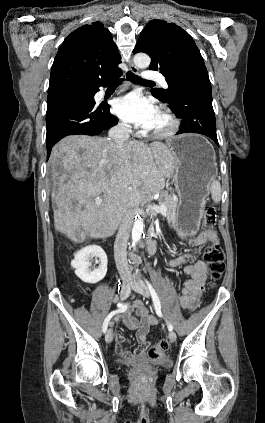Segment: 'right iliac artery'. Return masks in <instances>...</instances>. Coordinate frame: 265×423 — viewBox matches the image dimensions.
<instances>
[{
	"instance_id": "1",
	"label": "right iliac artery",
	"mask_w": 265,
	"mask_h": 423,
	"mask_svg": "<svg viewBox=\"0 0 265 423\" xmlns=\"http://www.w3.org/2000/svg\"><path fill=\"white\" fill-rule=\"evenodd\" d=\"M117 307H118V309L117 310H114V311H112L106 318H105V320H104V322H103V326H102V330H103V332L104 333H106V331H107V327H108V323H109V321H110V319L115 315V314H117V313H119V312H123L124 310H126V308H127V303H118L117 304Z\"/></svg>"
}]
</instances>
